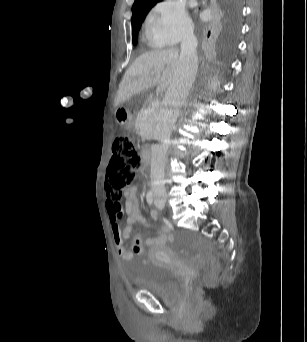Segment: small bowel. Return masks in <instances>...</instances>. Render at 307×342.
Returning a JSON list of instances; mask_svg holds the SVG:
<instances>
[{"label": "small bowel", "mask_w": 307, "mask_h": 342, "mask_svg": "<svg viewBox=\"0 0 307 342\" xmlns=\"http://www.w3.org/2000/svg\"><path fill=\"white\" fill-rule=\"evenodd\" d=\"M127 203H126V214H127V226L122 229L115 206H107L108 216L110 220L111 232L113 242L117 248L118 255L124 260H131L135 253H131L130 248L127 246L126 241L133 231L135 224L139 223L144 228H149L150 224L141 215V209L139 200L137 197V188L130 187L127 189ZM152 218L156 219L157 214L152 212ZM136 237V236H135ZM170 236L168 228L162 226L159 229V234L156 237H150L145 239V246L151 248L152 251H159L165 248L169 242Z\"/></svg>", "instance_id": "obj_1"}]
</instances>
